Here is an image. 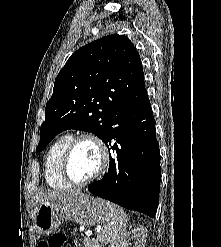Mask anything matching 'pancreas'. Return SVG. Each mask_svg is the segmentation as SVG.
Segmentation results:
<instances>
[{
	"label": "pancreas",
	"mask_w": 221,
	"mask_h": 247,
	"mask_svg": "<svg viewBox=\"0 0 221 247\" xmlns=\"http://www.w3.org/2000/svg\"><path fill=\"white\" fill-rule=\"evenodd\" d=\"M83 245L84 247H100L97 240L90 239L89 237H84Z\"/></svg>",
	"instance_id": "obj_1"
}]
</instances>
